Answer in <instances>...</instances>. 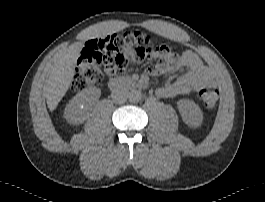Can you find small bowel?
<instances>
[{
  "mask_svg": "<svg viewBox=\"0 0 265 202\" xmlns=\"http://www.w3.org/2000/svg\"><path fill=\"white\" fill-rule=\"evenodd\" d=\"M99 38L88 40L81 50L83 56L91 55L96 48ZM158 61L147 68L146 74L159 76L171 74L186 67L187 71L176 81L167 84L157 91L161 98L171 99L180 95L188 94L206 86L214 85V75L212 70L205 66L200 58L190 50L181 54H173L166 51L157 57Z\"/></svg>",
  "mask_w": 265,
  "mask_h": 202,
  "instance_id": "obj_1",
  "label": "small bowel"
}]
</instances>
